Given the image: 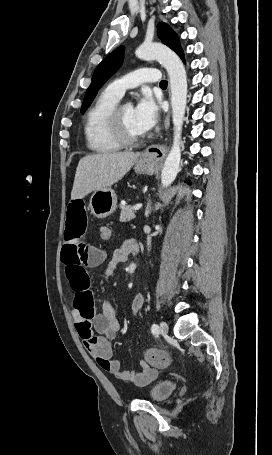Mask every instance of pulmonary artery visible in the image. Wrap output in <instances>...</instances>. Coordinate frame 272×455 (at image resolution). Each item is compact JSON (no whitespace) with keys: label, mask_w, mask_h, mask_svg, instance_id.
<instances>
[{"label":"pulmonary artery","mask_w":272,"mask_h":455,"mask_svg":"<svg viewBox=\"0 0 272 455\" xmlns=\"http://www.w3.org/2000/svg\"><path fill=\"white\" fill-rule=\"evenodd\" d=\"M160 73L153 68H139L115 81H113L108 89L118 97H122L124 92L145 82H159Z\"/></svg>","instance_id":"pulmonary-artery-1"}]
</instances>
